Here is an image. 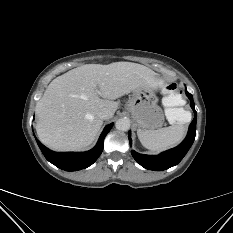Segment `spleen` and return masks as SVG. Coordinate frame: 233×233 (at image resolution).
<instances>
[{"label": "spleen", "instance_id": "obj_1", "mask_svg": "<svg viewBox=\"0 0 233 233\" xmlns=\"http://www.w3.org/2000/svg\"><path fill=\"white\" fill-rule=\"evenodd\" d=\"M179 99L165 97L163 104L165 115L171 126L160 130H143L138 129L137 135L141 144L151 151H164L178 145L185 136L184 124L191 119V113L183 108L176 107Z\"/></svg>", "mask_w": 233, "mask_h": 233}]
</instances>
